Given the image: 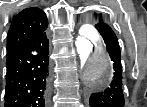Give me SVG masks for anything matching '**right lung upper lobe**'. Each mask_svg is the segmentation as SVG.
Instances as JSON below:
<instances>
[{
    "label": "right lung upper lobe",
    "mask_w": 147,
    "mask_h": 107,
    "mask_svg": "<svg viewBox=\"0 0 147 107\" xmlns=\"http://www.w3.org/2000/svg\"><path fill=\"white\" fill-rule=\"evenodd\" d=\"M47 27L48 20L41 9L25 8L12 20L7 35V52L26 44L45 32Z\"/></svg>",
    "instance_id": "cb5924a9"
}]
</instances>
